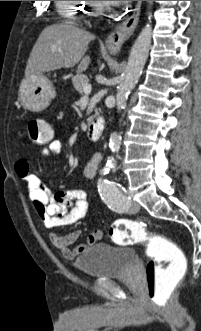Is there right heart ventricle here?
<instances>
[{
  "label": "right heart ventricle",
  "mask_w": 201,
  "mask_h": 331,
  "mask_svg": "<svg viewBox=\"0 0 201 331\" xmlns=\"http://www.w3.org/2000/svg\"><path fill=\"white\" fill-rule=\"evenodd\" d=\"M56 5L63 19L78 24L88 8V1H56Z\"/></svg>",
  "instance_id": "right-heart-ventricle-1"
}]
</instances>
